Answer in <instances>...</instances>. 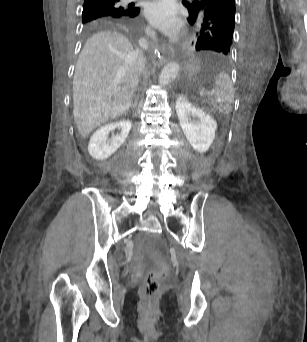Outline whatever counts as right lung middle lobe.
I'll use <instances>...</instances> for the list:
<instances>
[{
  "label": "right lung middle lobe",
  "instance_id": "1",
  "mask_svg": "<svg viewBox=\"0 0 307 342\" xmlns=\"http://www.w3.org/2000/svg\"><path fill=\"white\" fill-rule=\"evenodd\" d=\"M110 14L107 10L89 9L82 12V23Z\"/></svg>",
  "mask_w": 307,
  "mask_h": 342
}]
</instances>
